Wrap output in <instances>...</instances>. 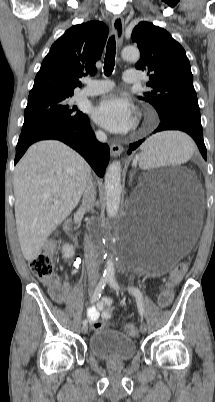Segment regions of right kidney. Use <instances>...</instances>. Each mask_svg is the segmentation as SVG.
I'll return each mask as SVG.
<instances>
[{
    "label": "right kidney",
    "mask_w": 215,
    "mask_h": 402,
    "mask_svg": "<svg viewBox=\"0 0 215 402\" xmlns=\"http://www.w3.org/2000/svg\"><path fill=\"white\" fill-rule=\"evenodd\" d=\"M62 253L65 257L69 258L74 255V247L72 245L66 244L62 248Z\"/></svg>",
    "instance_id": "obj_1"
}]
</instances>
